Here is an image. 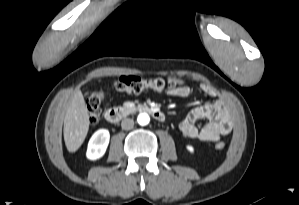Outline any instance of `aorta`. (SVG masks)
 <instances>
[{
    "label": "aorta",
    "mask_w": 299,
    "mask_h": 205,
    "mask_svg": "<svg viewBox=\"0 0 299 205\" xmlns=\"http://www.w3.org/2000/svg\"><path fill=\"white\" fill-rule=\"evenodd\" d=\"M150 117L147 113H140L137 117V122L141 126H145L149 123Z\"/></svg>",
    "instance_id": "1"
}]
</instances>
